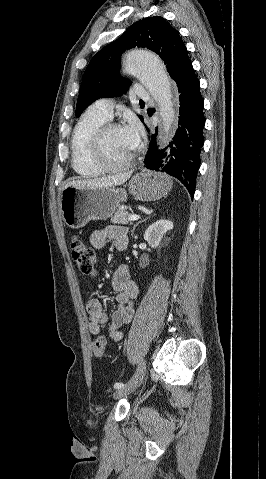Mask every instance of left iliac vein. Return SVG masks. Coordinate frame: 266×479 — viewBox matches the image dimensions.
I'll return each mask as SVG.
<instances>
[{
  "label": "left iliac vein",
  "mask_w": 266,
  "mask_h": 479,
  "mask_svg": "<svg viewBox=\"0 0 266 479\" xmlns=\"http://www.w3.org/2000/svg\"><path fill=\"white\" fill-rule=\"evenodd\" d=\"M146 370L145 361H141L138 365V368L128 383L123 387L114 392L113 398L117 399L127 394L135 391L142 383Z\"/></svg>",
  "instance_id": "obj_1"
}]
</instances>
